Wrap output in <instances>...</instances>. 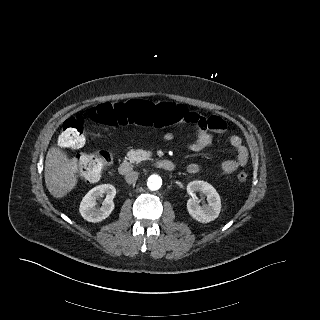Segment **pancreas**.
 Here are the masks:
<instances>
[{
  "label": "pancreas",
  "mask_w": 320,
  "mask_h": 320,
  "mask_svg": "<svg viewBox=\"0 0 320 320\" xmlns=\"http://www.w3.org/2000/svg\"><path fill=\"white\" fill-rule=\"evenodd\" d=\"M127 159L131 163H139L144 159V156L140 150L131 149L130 151L127 152Z\"/></svg>",
  "instance_id": "cf45deb5"
}]
</instances>
